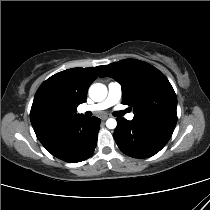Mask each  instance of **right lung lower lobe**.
<instances>
[{
  "mask_svg": "<svg viewBox=\"0 0 210 210\" xmlns=\"http://www.w3.org/2000/svg\"><path fill=\"white\" fill-rule=\"evenodd\" d=\"M100 119L77 116L42 137V145L55 157L69 163L89 158L95 150Z\"/></svg>",
  "mask_w": 210,
  "mask_h": 210,
  "instance_id": "right-lung-lower-lobe-1",
  "label": "right lung lower lobe"
}]
</instances>
